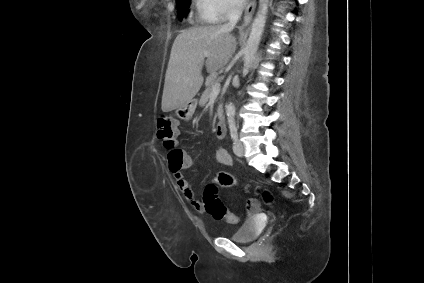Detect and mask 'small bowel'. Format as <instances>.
<instances>
[{"label": "small bowel", "mask_w": 424, "mask_h": 283, "mask_svg": "<svg viewBox=\"0 0 424 283\" xmlns=\"http://www.w3.org/2000/svg\"><path fill=\"white\" fill-rule=\"evenodd\" d=\"M187 157L189 159L188 167H190L192 165V160L188 155ZM215 159L223 166H231L233 162L231 155L224 148H219L216 151ZM172 173L178 189L181 191L187 202H189L198 212H204L205 209L203 203L195 197L189 181L185 178L181 170Z\"/></svg>", "instance_id": "1"}]
</instances>
